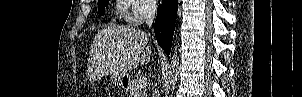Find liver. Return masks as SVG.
I'll return each mask as SVG.
<instances>
[{"label": "liver", "mask_w": 302, "mask_h": 97, "mask_svg": "<svg viewBox=\"0 0 302 97\" xmlns=\"http://www.w3.org/2000/svg\"><path fill=\"white\" fill-rule=\"evenodd\" d=\"M150 35L130 26H113L99 31L90 48V76L127 73L139 63L150 61L151 47L148 45Z\"/></svg>", "instance_id": "1"}]
</instances>
